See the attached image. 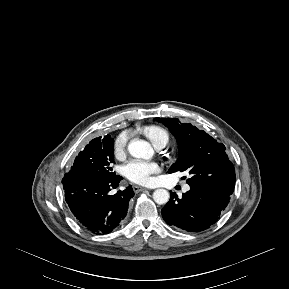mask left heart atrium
Returning a JSON list of instances; mask_svg holds the SVG:
<instances>
[{
	"instance_id": "39dd6f15",
	"label": "left heart atrium",
	"mask_w": 289,
	"mask_h": 289,
	"mask_svg": "<svg viewBox=\"0 0 289 289\" xmlns=\"http://www.w3.org/2000/svg\"><path fill=\"white\" fill-rule=\"evenodd\" d=\"M160 172V166L156 162L132 160L128 162L123 173L133 183L149 185L153 182V175Z\"/></svg>"
}]
</instances>
